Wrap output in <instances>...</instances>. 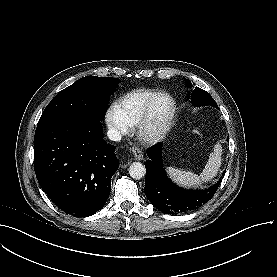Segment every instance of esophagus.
I'll return each mask as SVG.
<instances>
[{
    "label": "esophagus",
    "instance_id": "obj_1",
    "mask_svg": "<svg viewBox=\"0 0 277 277\" xmlns=\"http://www.w3.org/2000/svg\"><path fill=\"white\" fill-rule=\"evenodd\" d=\"M132 153L134 155L135 160L140 161L143 159V152L139 148L133 147Z\"/></svg>",
    "mask_w": 277,
    "mask_h": 277
}]
</instances>
